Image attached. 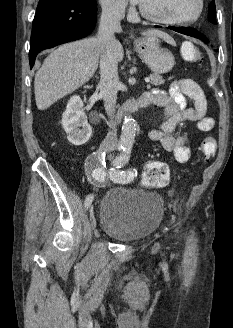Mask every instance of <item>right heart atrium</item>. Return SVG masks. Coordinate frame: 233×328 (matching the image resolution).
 <instances>
[{
    "instance_id": "right-heart-atrium-1",
    "label": "right heart atrium",
    "mask_w": 233,
    "mask_h": 328,
    "mask_svg": "<svg viewBox=\"0 0 233 328\" xmlns=\"http://www.w3.org/2000/svg\"><path fill=\"white\" fill-rule=\"evenodd\" d=\"M103 13L111 18H119L125 10L124 0H99Z\"/></svg>"
}]
</instances>
